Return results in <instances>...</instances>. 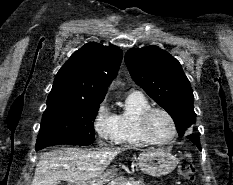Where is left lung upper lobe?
<instances>
[{
	"mask_svg": "<svg viewBox=\"0 0 233 185\" xmlns=\"http://www.w3.org/2000/svg\"><path fill=\"white\" fill-rule=\"evenodd\" d=\"M125 62L132 79L173 118L179 136L196 123L194 96L177 59L157 46L130 49Z\"/></svg>",
	"mask_w": 233,
	"mask_h": 185,
	"instance_id": "obj_1",
	"label": "left lung upper lobe"
}]
</instances>
